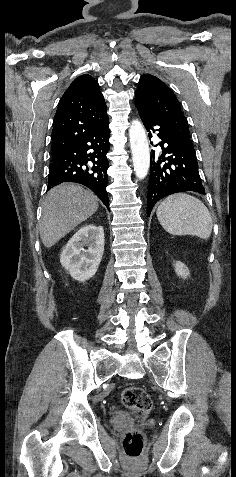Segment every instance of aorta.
<instances>
[{"instance_id": "obj_1", "label": "aorta", "mask_w": 236, "mask_h": 477, "mask_svg": "<svg viewBox=\"0 0 236 477\" xmlns=\"http://www.w3.org/2000/svg\"><path fill=\"white\" fill-rule=\"evenodd\" d=\"M132 161L138 179H144L150 167V150L145 128L139 120H133L129 128Z\"/></svg>"}]
</instances>
